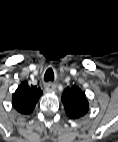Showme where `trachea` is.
Instances as JSON below:
<instances>
[{
	"instance_id": "obj_1",
	"label": "trachea",
	"mask_w": 118,
	"mask_h": 142,
	"mask_svg": "<svg viewBox=\"0 0 118 142\" xmlns=\"http://www.w3.org/2000/svg\"><path fill=\"white\" fill-rule=\"evenodd\" d=\"M54 80V72L52 68H49L46 70L45 75H44V81L49 82Z\"/></svg>"
}]
</instances>
